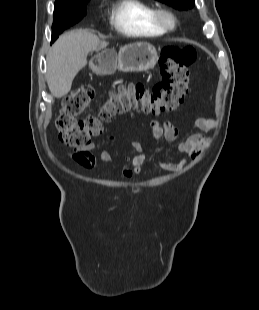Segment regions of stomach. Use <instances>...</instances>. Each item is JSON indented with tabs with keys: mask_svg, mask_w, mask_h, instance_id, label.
Instances as JSON below:
<instances>
[{
	"mask_svg": "<svg viewBox=\"0 0 259 310\" xmlns=\"http://www.w3.org/2000/svg\"><path fill=\"white\" fill-rule=\"evenodd\" d=\"M158 61L154 46L137 42L121 47L119 53L105 49L90 61L91 70L97 75H110L117 69L122 72H141L152 69Z\"/></svg>",
	"mask_w": 259,
	"mask_h": 310,
	"instance_id": "0dacf381",
	"label": "stomach"
}]
</instances>
